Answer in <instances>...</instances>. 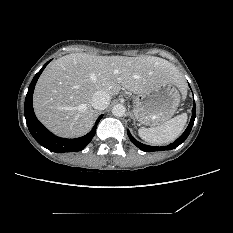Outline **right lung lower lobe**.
I'll return each instance as SVG.
<instances>
[{"mask_svg":"<svg viewBox=\"0 0 233 233\" xmlns=\"http://www.w3.org/2000/svg\"><path fill=\"white\" fill-rule=\"evenodd\" d=\"M50 61H48L42 67V69L34 76L28 88V93L26 95L25 107H24V115L26 118L28 129L31 135L34 137V139L40 145H42L43 147L47 148L50 151H53L56 153L81 151L90 143V141L94 137L96 129H97V125L100 119L103 117V115L99 116L92 130L88 134H86L85 136L79 137V138H75V139H65V138L57 137L53 135L51 132H49L38 121V119L35 116L33 105H32L33 91H34V88H35V85H36V82L39 76L41 75L42 71L44 70V68L47 66V64Z\"/></svg>","mask_w":233,"mask_h":233,"instance_id":"obj_1","label":"right lung lower lobe"}]
</instances>
